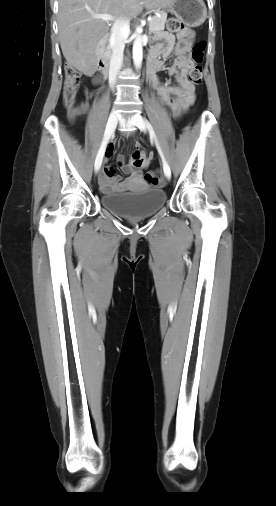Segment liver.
<instances>
[{
	"instance_id": "obj_1",
	"label": "liver",
	"mask_w": 276,
	"mask_h": 506,
	"mask_svg": "<svg viewBox=\"0 0 276 506\" xmlns=\"http://www.w3.org/2000/svg\"><path fill=\"white\" fill-rule=\"evenodd\" d=\"M173 0H59L58 28L67 63L84 74L95 72L94 49L108 32L110 23L93 15L135 18L148 10L168 8Z\"/></svg>"
}]
</instances>
